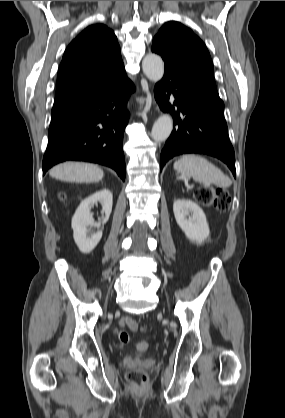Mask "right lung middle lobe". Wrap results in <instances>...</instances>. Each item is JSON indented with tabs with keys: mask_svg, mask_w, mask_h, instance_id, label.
<instances>
[{
	"mask_svg": "<svg viewBox=\"0 0 285 418\" xmlns=\"http://www.w3.org/2000/svg\"><path fill=\"white\" fill-rule=\"evenodd\" d=\"M64 109H53L52 110V116L59 114L60 112H62Z\"/></svg>",
	"mask_w": 285,
	"mask_h": 418,
	"instance_id": "obj_1",
	"label": "right lung middle lobe"
}]
</instances>
